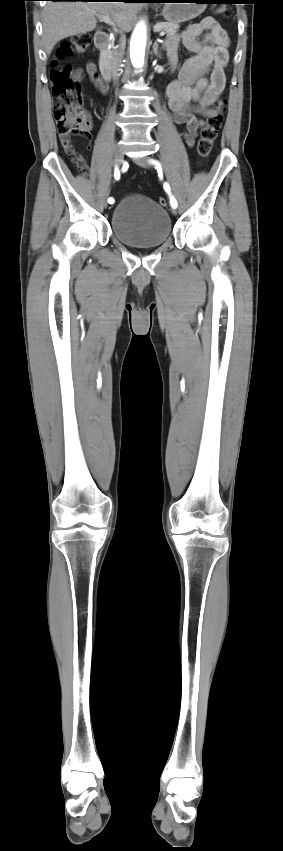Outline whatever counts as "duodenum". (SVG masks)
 Wrapping results in <instances>:
<instances>
[{
	"instance_id": "1",
	"label": "duodenum",
	"mask_w": 283,
	"mask_h": 851,
	"mask_svg": "<svg viewBox=\"0 0 283 851\" xmlns=\"http://www.w3.org/2000/svg\"><path fill=\"white\" fill-rule=\"evenodd\" d=\"M110 44V37L105 32H100L95 36V46L99 50V64L102 77L109 83L112 81L111 68L107 60V49Z\"/></svg>"
}]
</instances>
